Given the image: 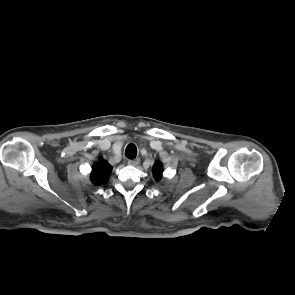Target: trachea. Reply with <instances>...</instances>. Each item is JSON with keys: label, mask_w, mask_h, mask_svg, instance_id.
I'll return each mask as SVG.
<instances>
[{"label": "trachea", "mask_w": 295, "mask_h": 295, "mask_svg": "<svg viewBox=\"0 0 295 295\" xmlns=\"http://www.w3.org/2000/svg\"><path fill=\"white\" fill-rule=\"evenodd\" d=\"M125 155L129 159H135V157L137 155V148H136V146L134 144H129L126 147Z\"/></svg>", "instance_id": "1"}]
</instances>
